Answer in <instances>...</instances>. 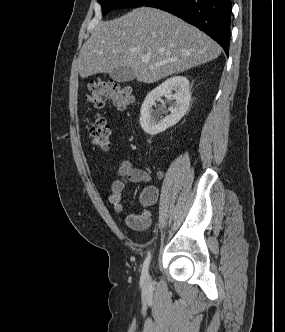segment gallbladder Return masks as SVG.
Segmentation results:
<instances>
[{
	"instance_id": "obj_1",
	"label": "gallbladder",
	"mask_w": 285,
	"mask_h": 332,
	"mask_svg": "<svg viewBox=\"0 0 285 332\" xmlns=\"http://www.w3.org/2000/svg\"><path fill=\"white\" fill-rule=\"evenodd\" d=\"M112 80L124 83L134 79V71L130 67H118L109 73Z\"/></svg>"
}]
</instances>
